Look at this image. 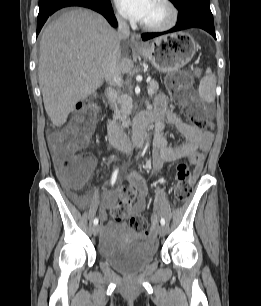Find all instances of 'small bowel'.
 Here are the masks:
<instances>
[{
	"instance_id": "1",
	"label": "small bowel",
	"mask_w": 261,
	"mask_h": 306,
	"mask_svg": "<svg viewBox=\"0 0 261 306\" xmlns=\"http://www.w3.org/2000/svg\"><path fill=\"white\" fill-rule=\"evenodd\" d=\"M153 115L156 120L154 149L151 161V170L158 171L166 162H172L180 159L188 160L195 167V175H198L204 165L206 157L211 149L213 142V133L210 130H204L198 126L190 125L182 120L177 114L167 110V98L164 94L157 96ZM171 125L183 137V140L175 145L168 144L166 139V127ZM91 170L94 166V159L90 157ZM62 165L57 164L60 171ZM129 185L135 190L137 200L132 208L131 214L141 213L146 207V196L148 189L144 179L133 172L128 176ZM119 196V191H105L100 196V215L103 220H107V211L112 208ZM80 205L86 206L90 203L87 195L81 197L75 196ZM113 223H106V236L104 242L110 241V232L114 229Z\"/></svg>"
}]
</instances>
